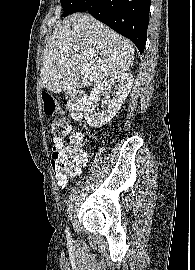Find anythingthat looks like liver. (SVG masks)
Here are the masks:
<instances>
[{"label": "liver", "mask_w": 195, "mask_h": 270, "mask_svg": "<svg viewBox=\"0 0 195 270\" xmlns=\"http://www.w3.org/2000/svg\"><path fill=\"white\" fill-rule=\"evenodd\" d=\"M133 61L128 39L87 13H75L47 39L41 87L62 93L93 86L126 73Z\"/></svg>", "instance_id": "obj_1"}]
</instances>
